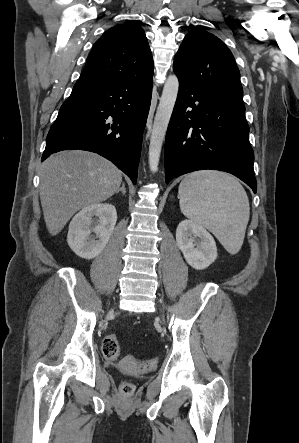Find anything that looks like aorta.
<instances>
[{
    "label": "aorta",
    "mask_w": 299,
    "mask_h": 443,
    "mask_svg": "<svg viewBox=\"0 0 299 443\" xmlns=\"http://www.w3.org/2000/svg\"><path fill=\"white\" fill-rule=\"evenodd\" d=\"M179 81L175 75H170L164 85L159 105L157 107L149 144V167L152 172L158 170V164L168 124L177 99Z\"/></svg>",
    "instance_id": "1"
}]
</instances>
